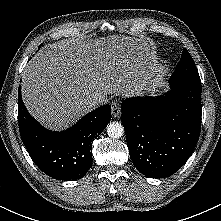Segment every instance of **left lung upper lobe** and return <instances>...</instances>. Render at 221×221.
I'll list each match as a JSON object with an SVG mask.
<instances>
[{
  "mask_svg": "<svg viewBox=\"0 0 221 221\" xmlns=\"http://www.w3.org/2000/svg\"><path fill=\"white\" fill-rule=\"evenodd\" d=\"M186 80L200 81V77L191 55L184 49L180 62L177 64L174 73L170 77V81Z\"/></svg>",
  "mask_w": 221,
  "mask_h": 221,
  "instance_id": "left-lung-upper-lobe-1",
  "label": "left lung upper lobe"
}]
</instances>
